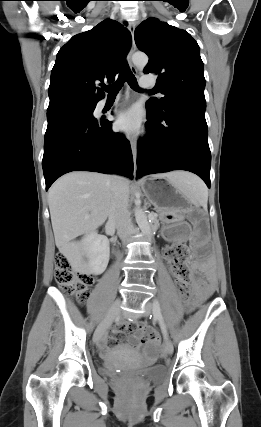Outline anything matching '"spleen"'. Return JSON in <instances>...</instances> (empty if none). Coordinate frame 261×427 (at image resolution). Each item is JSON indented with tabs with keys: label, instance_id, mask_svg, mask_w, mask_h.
I'll return each instance as SVG.
<instances>
[{
	"label": "spleen",
	"instance_id": "3e777b00",
	"mask_svg": "<svg viewBox=\"0 0 261 427\" xmlns=\"http://www.w3.org/2000/svg\"><path fill=\"white\" fill-rule=\"evenodd\" d=\"M176 183L195 206L207 207L208 190L198 177L189 173H183L182 178Z\"/></svg>",
	"mask_w": 261,
	"mask_h": 427
}]
</instances>
